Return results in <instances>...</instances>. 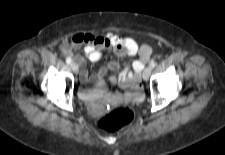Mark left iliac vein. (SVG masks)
Instances as JSON below:
<instances>
[{"mask_svg":"<svg viewBox=\"0 0 225 155\" xmlns=\"http://www.w3.org/2000/svg\"><path fill=\"white\" fill-rule=\"evenodd\" d=\"M151 71H152V68L150 67H147L144 71H143V74H142V77H143V80L144 81H147L150 77V74H151Z\"/></svg>","mask_w":225,"mask_h":155,"instance_id":"left-iliac-vein-1","label":"left iliac vein"}]
</instances>
